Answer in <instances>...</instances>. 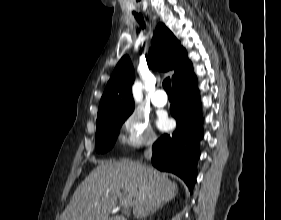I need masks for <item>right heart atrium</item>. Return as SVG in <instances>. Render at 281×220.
I'll use <instances>...</instances> for the list:
<instances>
[{"mask_svg":"<svg viewBox=\"0 0 281 220\" xmlns=\"http://www.w3.org/2000/svg\"><path fill=\"white\" fill-rule=\"evenodd\" d=\"M156 140L150 120L141 110H134L125 117L121 136L124 145L137 149L154 145Z\"/></svg>","mask_w":281,"mask_h":220,"instance_id":"d8ad5b80","label":"right heart atrium"}]
</instances>
